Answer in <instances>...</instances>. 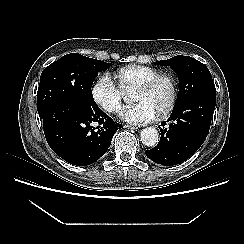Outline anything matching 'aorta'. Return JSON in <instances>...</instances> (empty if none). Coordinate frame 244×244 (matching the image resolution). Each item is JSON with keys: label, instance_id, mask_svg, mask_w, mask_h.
I'll use <instances>...</instances> for the list:
<instances>
[{"label": "aorta", "instance_id": "1", "mask_svg": "<svg viewBox=\"0 0 244 244\" xmlns=\"http://www.w3.org/2000/svg\"><path fill=\"white\" fill-rule=\"evenodd\" d=\"M141 142L148 147H153L158 143L159 134L155 128H145L140 133Z\"/></svg>", "mask_w": 244, "mask_h": 244}]
</instances>
